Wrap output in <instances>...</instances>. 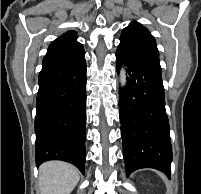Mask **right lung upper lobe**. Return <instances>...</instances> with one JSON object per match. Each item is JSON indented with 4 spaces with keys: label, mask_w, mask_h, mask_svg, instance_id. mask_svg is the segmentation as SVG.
Returning <instances> with one entry per match:
<instances>
[{
    "label": "right lung upper lobe",
    "mask_w": 201,
    "mask_h": 194,
    "mask_svg": "<svg viewBox=\"0 0 201 194\" xmlns=\"http://www.w3.org/2000/svg\"><path fill=\"white\" fill-rule=\"evenodd\" d=\"M85 61L84 49L77 41L74 31H68L54 40L48 47L42 65L45 67H65Z\"/></svg>",
    "instance_id": "1"
}]
</instances>
